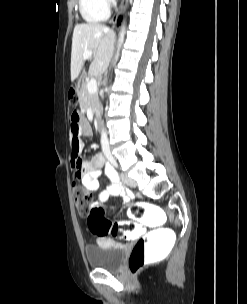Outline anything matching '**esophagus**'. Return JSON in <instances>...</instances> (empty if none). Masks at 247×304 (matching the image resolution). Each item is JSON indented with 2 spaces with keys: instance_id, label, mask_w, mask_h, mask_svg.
Masks as SVG:
<instances>
[{
  "instance_id": "1",
  "label": "esophagus",
  "mask_w": 247,
  "mask_h": 304,
  "mask_svg": "<svg viewBox=\"0 0 247 304\" xmlns=\"http://www.w3.org/2000/svg\"><path fill=\"white\" fill-rule=\"evenodd\" d=\"M127 3H128V0H122L119 11L115 14V16L112 19L113 26H115L117 24L118 17L121 14L122 10L124 9V7L126 6Z\"/></svg>"
}]
</instances>
